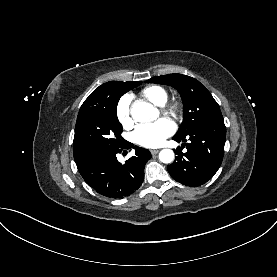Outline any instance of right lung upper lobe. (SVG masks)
Masks as SVG:
<instances>
[{"instance_id":"right-lung-upper-lobe-1","label":"right lung upper lobe","mask_w":277,"mask_h":277,"mask_svg":"<svg viewBox=\"0 0 277 277\" xmlns=\"http://www.w3.org/2000/svg\"><path fill=\"white\" fill-rule=\"evenodd\" d=\"M133 81H128V82H121V81H110L107 83L102 84L101 86H99L97 89H95L89 96L88 98L84 101V103L82 104L79 114H82L83 112L91 109V108H95L100 106L103 101L104 98L106 96V90L114 84H125V85H131L133 84Z\"/></svg>"}]
</instances>
